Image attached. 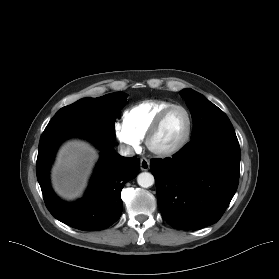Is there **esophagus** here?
<instances>
[{
  "instance_id": "obj_1",
  "label": "esophagus",
  "mask_w": 279,
  "mask_h": 279,
  "mask_svg": "<svg viewBox=\"0 0 279 279\" xmlns=\"http://www.w3.org/2000/svg\"><path fill=\"white\" fill-rule=\"evenodd\" d=\"M140 168L143 171H147L150 168V162L146 158H142L140 161Z\"/></svg>"
}]
</instances>
